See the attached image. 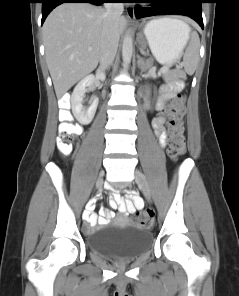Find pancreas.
Instances as JSON below:
<instances>
[{
	"instance_id": "1",
	"label": "pancreas",
	"mask_w": 239,
	"mask_h": 296,
	"mask_svg": "<svg viewBox=\"0 0 239 296\" xmlns=\"http://www.w3.org/2000/svg\"><path fill=\"white\" fill-rule=\"evenodd\" d=\"M165 77L168 78L169 77V72L166 70L165 72Z\"/></svg>"
}]
</instances>
